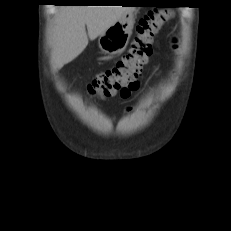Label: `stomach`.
Returning <instances> with one entry per match:
<instances>
[{"instance_id": "0dacf381", "label": "stomach", "mask_w": 231, "mask_h": 231, "mask_svg": "<svg viewBox=\"0 0 231 231\" xmlns=\"http://www.w3.org/2000/svg\"><path fill=\"white\" fill-rule=\"evenodd\" d=\"M133 12L124 14L116 23L99 36L98 45L108 55L122 53L128 45L134 26Z\"/></svg>"}]
</instances>
